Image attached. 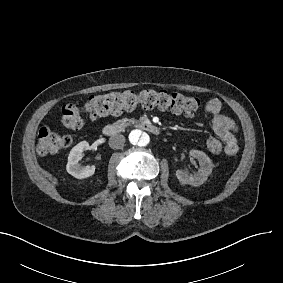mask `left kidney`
<instances>
[{
    "mask_svg": "<svg viewBox=\"0 0 283 283\" xmlns=\"http://www.w3.org/2000/svg\"><path fill=\"white\" fill-rule=\"evenodd\" d=\"M190 156L196 158L199 161L200 168L195 175H189L184 170H177L176 177L181 184H189L192 186L202 185L212 173L213 163L211 159L202 151L191 150Z\"/></svg>",
    "mask_w": 283,
    "mask_h": 283,
    "instance_id": "left-kidney-1",
    "label": "left kidney"
}]
</instances>
